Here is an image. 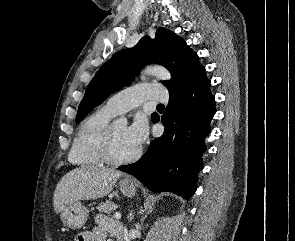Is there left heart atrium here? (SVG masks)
I'll return each mask as SVG.
<instances>
[{
    "mask_svg": "<svg viewBox=\"0 0 295 241\" xmlns=\"http://www.w3.org/2000/svg\"><path fill=\"white\" fill-rule=\"evenodd\" d=\"M127 134L130 140L139 147L148 135V124L146 120L142 117L136 118L133 123L127 127Z\"/></svg>",
    "mask_w": 295,
    "mask_h": 241,
    "instance_id": "1",
    "label": "left heart atrium"
}]
</instances>
